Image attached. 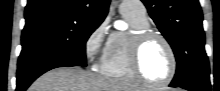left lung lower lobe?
<instances>
[{"instance_id": "0a47b994", "label": "left lung lower lobe", "mask_w": 220, "mask_h": 91, "mask_svg": "<svg viewBox=\"0 0 220 91\" xmlns=\"http://www.w3.org/2000/svg\"><path fill=\"white\" fill-rule=\"evenodd\" d=\"M170 87H175V86L170 85ZM178 87H181L189 91H210L211 90L210 81H205V80L191 81L186 84H182Z\"/></svg>"}]
</instances>
